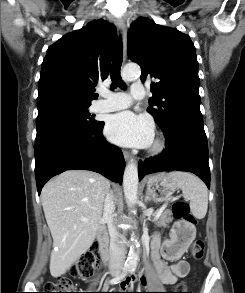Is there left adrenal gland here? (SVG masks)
Listing matches in <instances>:
<instances>
[{"label": "left adrenal gland", "instance_id": "1", "mask_svg": "<svg viewBox=\"0 0 245 293\" xmlns=\"http://www.w3.org/2000/svg\"><path fill=\"white\" fill-rule=\"evenodd\" d=\"M144 201H145L146 203H148V202L151 201V197L148 195V193H146Z\"/></svg>", "mask_w": 245, "mask_h": 293}]
</instances>
